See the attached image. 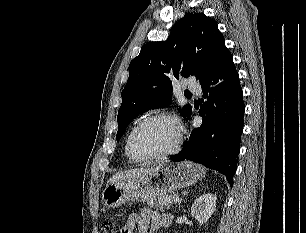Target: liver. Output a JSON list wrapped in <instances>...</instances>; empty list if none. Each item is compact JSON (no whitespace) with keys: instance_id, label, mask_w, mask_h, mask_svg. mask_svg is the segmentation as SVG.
I'll use <instances>...</instances> for the list:
<instances>
[{"instance_id":"6515ba94","label":"liver","mask_w":306,"mask_h":233,"mask_svg":"<svg viewBox=\"0 0 306 233\" xmlns=\"http://www.w3.org/2000/svg\"><path fill=\"white\" fill-rule=\"evenodd\" d=\"M163 167V163L153 167V168H140V169H134V170H128V171H124V172H119L116 173L115 175H113L107 182V184L113 183V182H117L120 180H124V179H129V178H134L137 177L141 174H146V173H150L153 172L155 170H158L160 168Z\"/></svg>"}]
</instances>
